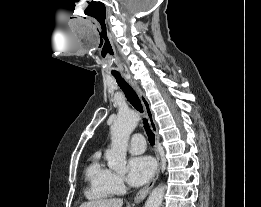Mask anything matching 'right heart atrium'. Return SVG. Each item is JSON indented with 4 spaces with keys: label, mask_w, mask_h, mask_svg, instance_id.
I'll return each instance as SVG.
<instances>
[{
    "label": "right heart atrium",
    "mask_w": 261,
    "mask_h": 207,
    "mask_svg": "<svg viewBox=\"0 0 261 207\" xmlns=\"http://www.w3.org/2000/svg\"><path fill=\"white\" fill-rule=\"evenodd\" d=\"M110 182L113 193L118 194L125 190V182L122 176L112 173Z\"/></svg>",
    "instance_id": "obj_1"
}]
</instances>
